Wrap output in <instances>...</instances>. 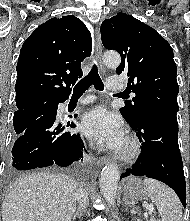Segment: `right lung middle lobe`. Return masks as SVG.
Returning a JSON list of instances; mask_svg holds the SVG:
<instances>
[{
    "instance_id": "right-lung-middle-lobe-1",
    "label": "right lung middle lobe",
    "mask_w": 190,
    "mask_h": 221,
    "mask_svg": "<svg viewBox=\"0 0 190 221\" xmlns=\"http://www.w3.org/2000/svg\"><path fill=\"white\" fill-rule=\"evenodd\" d=\"M48 110V105H39L23 112L15 113L13 118V125L16 134L20 135L24 130L37 118L42 116Z\"/></svg>"
}]
</instances>
